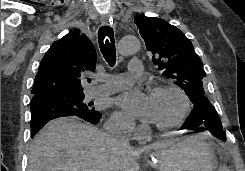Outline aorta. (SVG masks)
Wrapping results in <instances>:
<instances>
[{
  "label": "aorta",
  "mask_w": 245,
  "mask_h": 171,
  "mask_svg": "<svg viewBox=\"0 0 245 171\" xmlns=\"http://www.w3.org/2000/svg\"><path fill=\"white\" fill-rule=\"evenodd\" d=\"M140 49V41L134 36H125L118 43V52L121 56H130Z\"/></svg>",
  "instance_id": "obj_1"
}]
</instances>
